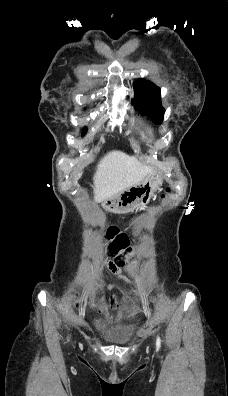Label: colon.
Segmentation results:
<instances>
[{
	"mask_svg": "<svg viewBox=\"0 0 228 396\" xmlns=\"http://www.w3.org/2000/svg\"><path fill=\"white\" fill-rule=\"evenodd\" d=\"M167 192H170V188H167ZM105 239L108 241L109 257L114 259L116 266H124L127 257L133 253L128 235L119 227L111 225L106 229ZM109 304L111 307H115L117 305L116 299L111 297ZM78 308H80V305H78Z\"/></svg>",
	"mask_w": 228,
	"mask_h": 396,
	"instance_id": "obj_1",
	"label": "colon"
}]
</instances>
